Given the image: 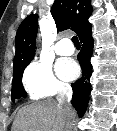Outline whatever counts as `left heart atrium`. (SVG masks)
Segmentation results:
<instances>
[{
	"instance_id": "left-heart-atrium-1",
	"label": "left heart atrium",
	"mask_w": 117,
	"mask_h": 131,
	"mask_svg": "<svg viewBox=\"0 0 117 131\" xmlns=\"http://www.w3.org/2000/svg\"><path fill=\"white\" fill-rule=\"evenodd\" d=\"M58 75L65 80H72L79 74V68L75 61L70 59H62L58 61L57 66Z\"/></svg>"
}]
</instances>
